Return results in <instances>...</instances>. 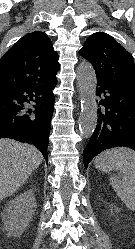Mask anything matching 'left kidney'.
<instances>
[{
    "instance_id": "left-kidney-1",
    "label": "left kidney",
    "mask_w": 135,
    "mask_h": 249,
    "mask_svg": "<svg viewBox=\"0 0 135 249\" xmlns=\"http://www.w3.org/2000/svg\"><path fill=\"white\" fill-rule=\"evenodd\" d=\"M115 211H116V212H118V211H119V209H118V208H115Z\"/></svg>"
}]
</instances>
